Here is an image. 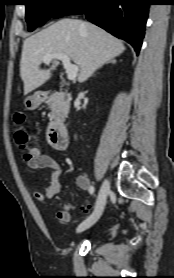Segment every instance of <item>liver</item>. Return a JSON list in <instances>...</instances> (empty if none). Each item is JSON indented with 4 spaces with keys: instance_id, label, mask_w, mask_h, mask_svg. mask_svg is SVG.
I'll use <instances>...</instances> for the list:
<instances>
[{
    "instance_id": "obj_1",
    "label": "liver",
    "mask_w": 174,
    "mask_h": 278,
    "mask_svg": "<svg viewBox=\"0 0 174 278\" xmlns=\"http://www.w3.org/2000/svg\"><path fill=\"white\" fill-rule=\"evenodd\" d=\"M124 50L121 40L92 23L61 19L23 42L20 76L24 83V95L50 79L52 71L58 66V59L55 58L51 60L49 69H41L40 65L46 55H67L79 66L77 80L82 83L97 68L119 56Z\"/></svg>"
}]
</instances>
